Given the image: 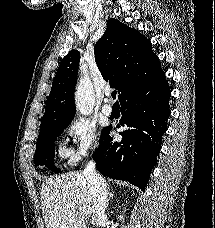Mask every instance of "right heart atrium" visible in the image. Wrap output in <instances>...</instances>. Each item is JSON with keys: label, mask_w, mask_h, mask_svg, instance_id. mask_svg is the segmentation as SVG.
<instances>
[{"label": "right heart atrium", "mask_w": 215, "mask_h": 228, "mask_svg": "<svg viewBox=\"0 0 215 228\" xmlns=\"http://www.w3.org/2000/svg\"><path fill=\"white\" fill-rule=\"evenodd\" d=\"M67 133L73 141V146L69 150L72 163H79L96 152L99 132L96 125L87 118L72 119L67 125Z\"/></svg>", "instance_id": "obj_1"}]
</instances>
